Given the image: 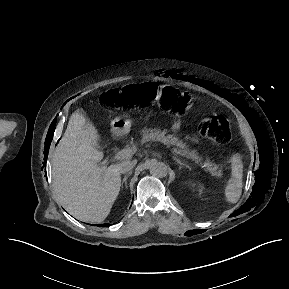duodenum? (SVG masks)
<instances>
[{"mask_svg":"<svg viewBox=\"0 0 289 289\" xmlns=\"http://www.w3.org/2000/svg\"><path fill=\"white\" fill-rule=\"evenodd\" d=\"M112 135H113L114 139L118 140L122 136V130L119 128H114Z\"/></svg>","mask_w":289,"mask_h":289,"instance_id":"duodenum-1","label":"duodenum"}]
</instances>
